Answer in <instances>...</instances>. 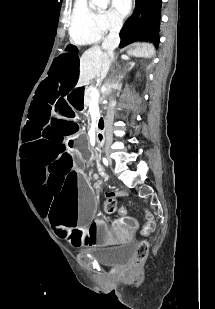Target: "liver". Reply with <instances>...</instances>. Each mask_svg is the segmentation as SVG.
I'll return each instance as SVG.
<instances>
[{
    "mask_svg": "<svg viewBox=\"0 0 215 309\" xmlns=\"http://www.w3.org/2000/svg\"><path fill=\"white\" fill-rule=\"evenodd\" d=\"M133 56H154L155 48L149 42H136L135 48L128 50ZM110 56L103 52L98 44H94L80 56V74L76 86L90 84L93 78H105L109 66Z\"/></svg>",
    "mask_w": 215,
    "mask_h": 309,
    "instance_id": "liver-1",
    "label": "liver"
}]
</instances>
